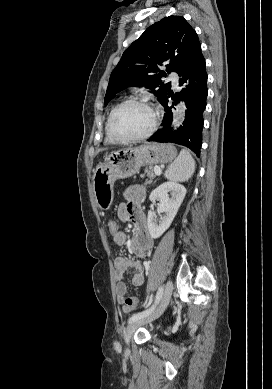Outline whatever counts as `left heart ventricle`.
I'll return each mask as SVG.
<instances>
[{
	"label": "left heart ventricle",
	"instance_id": "1",
	"mask_svg": "<svg viewBox=\"0 0 272 389\" xmlns=\"http://www.w3.org/2000/svg\"><path fill=\"white\" fill-rule=\"evenodd\" d=\"M152 123L151 111L139 104L122 108L115 116L113 127L121 137H135L145 133Z\"/></svg>",
	"mask_w": 272,
	"mask_h": 389
}]
</instances>
